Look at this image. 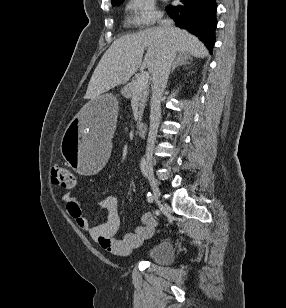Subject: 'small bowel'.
I'll use <instances>...</instances> for the list:
<instances>
[{"label":"small bowel","instance_id":"c3829d8e","mask_svg":"<svg viewBox=\"0 0 286 308\" xmlns=\"http://www.w3.org/2000/svg\"><path fill=\"white\" fill-rule=\"evenodd\" d=\"M63 200L67 214L75 221L77 227L86 232L101 248L115 255H127L139 247L143 241L153 236L157 221L151 213L142 215V225L122 237H116L120 227V217L117 211L116 200L108 196L97 203V207L106 210L105 222L92 227L84 214V207L71 194H65Z\"/></svg>","mask_w":286,"mask_h":308}]
</instances>
